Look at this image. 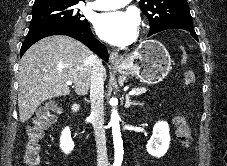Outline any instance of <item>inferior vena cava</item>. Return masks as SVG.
<instances>
[{"label": "inferior vena cava", "mask_w": 227, "mask_h": 166, "mask_svg": "<svg viewBox=\"0 0 227 166\" xmlns=\"http://www.w3.org/2000/svg\"><path fill=\"white\" fill-rule=\"evenodd\" d=\"M105 68L98 57L94 64L90 79L91 116L97 145V166H108L106 136L104 129V80Z\"/></svg>", "instance_id": "1"}]
</instances>
